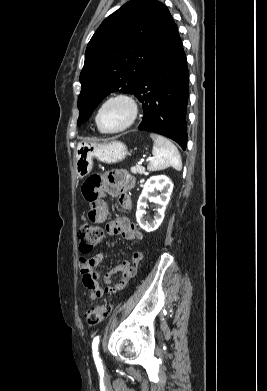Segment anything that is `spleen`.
Here are the masks:
<instances>
[{"instance_id": "spleen-1", "label": "spleen", "mask_w": 267, "mask_h": 391, "mask_svg": "<svg viewBox=\"0 0 267 391\" xmlns=\"http://www.w3.org/2000/svg\"><path fill=\"white\" fill-rule=\"evenodd\" d=\"M150 137L154 140L152 150L154 158L150 161L147 169L149 171H158L172 166L180 171L182 169V161L176 146L161 135L151 133Z\"/></svg>"}]
</instances>
